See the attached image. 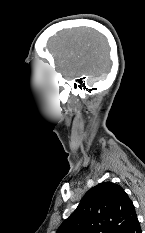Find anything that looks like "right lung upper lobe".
<instances>
[{
  "label": "right lung upper lobe",
  "mask_w": 145,
  "mask_h": 233,
  "mask_svg": "<svg viewBox=\"0 0 145 233\" xmlns=\"http://www.w3.org/2000/svg\"><path fill=\"white\" fill-rule=\"evenodd\" d=\"M137 218L123 188L112 182L92 187L57 233H126Z\"/></svg>",
  "instance_id": "right-lung-upper-lobe-1"
}]
</instances>
